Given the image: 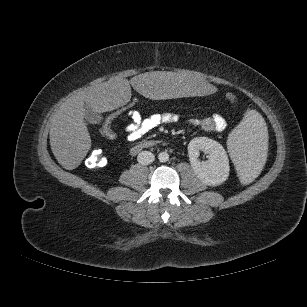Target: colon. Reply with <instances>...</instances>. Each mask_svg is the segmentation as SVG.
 I'll use <instances>...</instances> for the list:
<instances>
[{
  "label": "colon",
  "instance_id": "obj_1",
  "mask_svg": "<svg viewBox=\"0 0 307 307\" xmlns=\"http://www.w3.org/2000/svg\"><path fill=\"white\" fill-rule=\"evenodd\" d=\"M228 99L234 104L237 103V98L232 94H228ZM138 102L139 100L137 98H131L125 104L107 113L101 122L99 128L100 133L106 138H114L116 132L113 129V124L121 118L127 119L130 113L134 111ZM85 164L89 168H100L107 164V159L103 151L96 148L88 152L85 158Z\"/></svg>",
  "mask_w": 307,
  "mask_h": 307
}]
</instances>
